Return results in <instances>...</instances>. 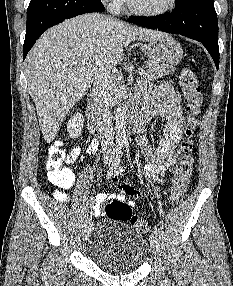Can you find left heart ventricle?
<instances>
[{"label": "left heart ventricle", "instance_id": "1", "mask_svg": "<svg viewBox=\"0 0 233 286\" xmlns=\"http://www.w3.org/2000/svg\"><path fill=\"white\" fill-rule=\"evenodd\" d=\"M133 3L140 9L148 11H158L165 8L169 0H132Z\"/></svg>", "mask_w": 233, "mask_h": 286}]
</instances>
